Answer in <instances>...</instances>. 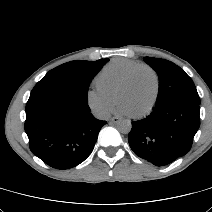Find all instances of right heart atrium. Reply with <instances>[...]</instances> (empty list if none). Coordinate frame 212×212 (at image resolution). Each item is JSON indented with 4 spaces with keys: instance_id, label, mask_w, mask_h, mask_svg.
<instances>
[{
    "instance_id": "1",
    "label": "right heart atrium",
    "mask_w": 212,
    "mask_h": 212,
    "mask_svg": "<svg viewBox=\"0 0 212 212\" xmlns=\"http://www.w3.org/2000/svg\"><path fill=\"white\" fill-rule=\"evenodd\" d=\"M86 101L89 108L95 114L98 116H107L114 106L115 98L112 94L97 87L87 92Z\"/></svg>"
}]
</instances>
